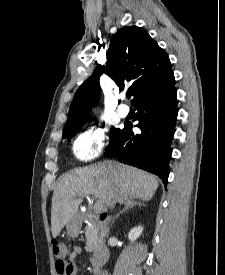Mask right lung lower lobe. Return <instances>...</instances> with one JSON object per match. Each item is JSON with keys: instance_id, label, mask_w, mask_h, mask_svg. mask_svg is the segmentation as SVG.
<instances>
[{"instance_id": "98d812e1", "label": "right lung lower lobe", "mask_w": 225, "mask_h": 275, "mask_svg": "<svg viewBox=\"0 0 225 275\" xmlns=\"http://www.w3.org/2000/svg\"><path fill=\"white\" fill-rule=\"evenodd\" d=\"M133 106L138 110L135 120L139 123L135 126L142 133L135 135L132 124H125L110 141L105 156L156 174L166 185L178 113L175 79L160 90L139 97Z\"/></svg>"}]
</instances>
